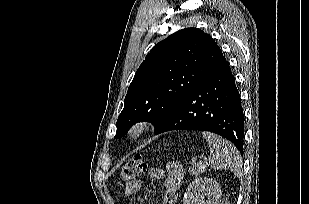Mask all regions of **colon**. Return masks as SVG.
Returning a JSON list of instances; mask_svg holds the SVG:
<instances>
[{"instance_id":"obj_1","label":"colon","mask_w":309,"mask_h":204,"mask_svg":"<svg viewBox=\"0 0 309 204\" xmlns=\"http://www.w3.org/2000/svg\"><path fill=\"white\" fill-rule=\"evenodd\" d=\"M145 167V161L140 155L127 161L120 173V184L123 186L131 184L144 171Z\"/></svg>"}]
</instances>
